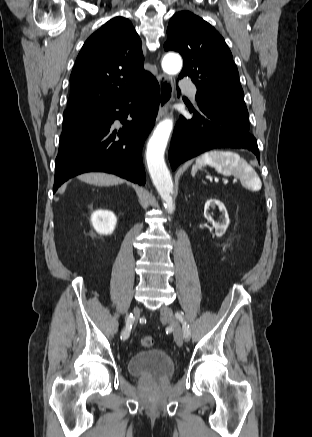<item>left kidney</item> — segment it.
Returning <instances> with one entry per match:
<instances>
[{
  "label": "left kidney",
  "mask_w": 312,
  "mask_h": 437,
  "mask_svg": "<svg viewBox=\"0 0 312 437\" xmlns=\"http://www.w3.org/2000/svg\"><path fill=\"white\" fill-rule=\"evenodd\" d=\"M215 205H217L219 207L220 211L224 212V217L222 218V222L215 221L209 212L210 208L214 207ZM204 216L210 223H212V225L216 231H218L220 233H223L226 231V229L229 225V217L227 214V210L222 202H220L219 200L214 199V198L207 200V202L205 203V206H204Z\"/></svg>",
  "instance_id": "1"
}]
</instances>
